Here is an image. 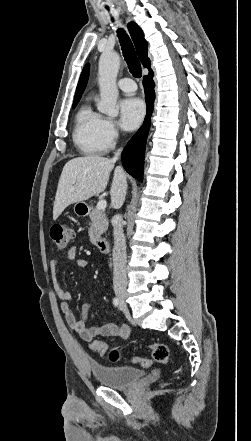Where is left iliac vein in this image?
<instances>
[{"label": "left iliac vein", "mask_w": 251, "mask_h": 441, "mask_svg": "<svg viewBox=\"0 0 251 441\" xmlns=\"http://www.w3.org/2000/svg\"><path fill=\"white\" fill-rule=\"evenodd\" d=\"M125 309V305L120 304V310H124Z\"/></svg>", "instance_id": "obj_1"}]
</instances>
